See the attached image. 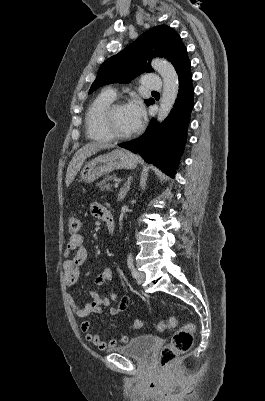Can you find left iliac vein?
I'll return each mask as SVG.
<instances>
[{
  "label": "left iliac vein",
  "instance_id": "4c4485c4",
  "mask_svg": "<svg viewBox=\"0 0 265 401\" xmlns=\"http://www.w3.org/2000/svg\"><path fill=\"white\" fill-rule=\"evenodd\" d=\"M145 278V274L141 271H137L136 281L138 284H141Z\"/></svg>",
  "mask_w": 265,
  "mask_h": 401
}]
</instances>
